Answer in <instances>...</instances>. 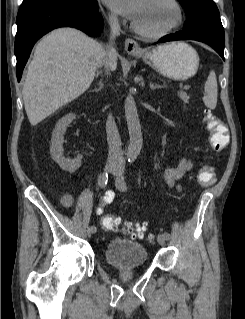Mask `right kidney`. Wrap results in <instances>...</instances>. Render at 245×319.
<instances>
[{
  "label": "right kidney",
  "mask_w": 245,
  "mask_h": 319,
  "mask_svg": "<svg viewBox=\"0 0 245 319\" xmlns=\"http://www.w3.org/2000/svg\"><path fill=\"white\" fill-rule=\"evenodd\" d=\"M74 114H68L57 123L51 138L50 154L52 159L65 171L75 172L81 166L82 156L67 159L63 156L64 133L68 125L75 119Z\"/></svg>",
  "instance_id": "1"
}]
</instances>
